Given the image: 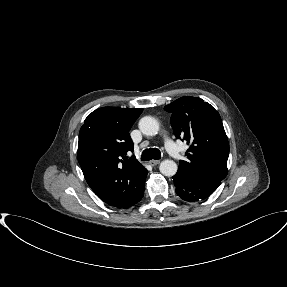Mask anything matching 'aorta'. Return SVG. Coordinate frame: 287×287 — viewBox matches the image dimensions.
<instances>
[{"instance_id":"1","label":"aorta","mask_w":287,"mask_h":287,"mask_svg":"<svg viewBox=\"0 0 287 287\" xmlns=\"http://www.w3.org/2000/svg\"><path fill=\"white\" fill-rule=\"evenodd\" d=\"M139 129L146 136H155L159 131V123L155 118L145 116L139 121ZM177 169V164L173 160L168 159L163 160L159 167L160 172L168 177L174 176Z\"/></svg>"}]
</instances>
